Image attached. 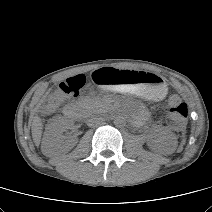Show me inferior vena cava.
I'll list each match as a JSON object with an SVG mask.
<instances>
[{"label":"inferior vena cava","instance_id":"1","mask_svg":"<svg viewBox=\"0 0 212 212\" xmlns=\"http://www.w3.org/2000/svg\"><path fill=\"white\" fill-rule=\"evenodd\" d=\"M103 119L101 117H91L90 119L87 120V125L89 127H94L96 125L101 124Z\"/></svg>","mask_w":212,"mask_h":212}]
</instances>
